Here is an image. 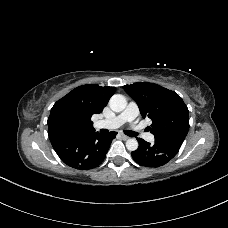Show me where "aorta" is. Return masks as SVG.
Returning <instances> with one entry per match:
<instances>
[{"label": "aorta", "instance_id": "1", "mask_svg": "<svg viewBox=\"0 0 228 228\" xmlns=\"http://www.w3.org/2000/svg\"><path fill=\"white\" fill-rule=\"evenodd\" d=\"M109 106L114 112H121L127 106L126 98L121 94H115L110 98ZM126 148L130 151L138 149V141L134 138H130L126 141Z\"/></svg>", "mask_w": 228, "mask_h": 228}]
</instances>
